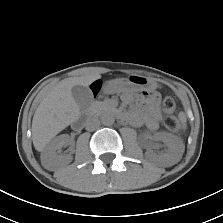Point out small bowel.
<instances>
[{
  "label": "small bowel",
  "mask_w": 223,
  "mask_h": 223,
  "mask_svg": "<svg viewBox=\"0 0 223 223\" xmlns=\"http://www.w3.org/2000/svg\"><path fill=\"white\" fill-rule=\"evenodd\" d=\"M161 96L159 93L143 95L140 99V106L146 110L142 115L128 117L134 124H145L148 128L154 130L158 127L160 120Z\"/></svg>",
  "instance_id": "1"
}]
</instances>
